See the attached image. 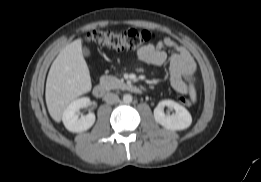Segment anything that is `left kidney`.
<instances>
[{"label": "left kidney", "mask_w": 261, "mask_h": 182, "mask_svg": "<svg viewBox=\"0 0 261 182\" xmlns=\"http://www.w3.org/2000/svg\"><path fill=\"white\" fill-rule=\"evenodd\" d=\"M167 106L176 111L175 114L166 115L164 107ZM154 119L157 123L169 130H184L192 123V117L188 110L173 100H163L154 109Z\"/></svg>", "instance_id": "5707ae66"}]
</instances>
